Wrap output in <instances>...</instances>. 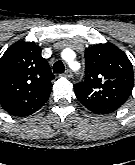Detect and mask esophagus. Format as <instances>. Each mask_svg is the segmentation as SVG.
I'll list each match as a JSON object with an SVG mask.
<instances>
[{
  "instance_id": "1",
  "label": "esophagus",
  "mask_w": 135,
  "mask_h": 165,
  "mask_svg": "<svg viewBox=\"0 0 135 165\" xmlns=\"http://www.w3.org/2000/svg\"><path fill=\"white\" fill-rule=\"evenodd\" d=\"M63 76H65V77H67V78L72 77V72H71V70L67 69V70L64 72Z\"/></svg>"
}]
</instances>
